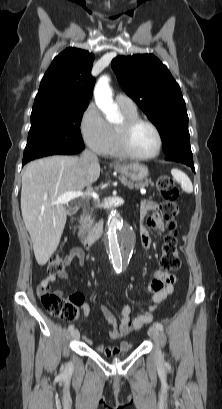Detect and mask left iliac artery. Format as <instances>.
Instances as JSON below:
<instances>
[{
	"mask_svg": "<svg viewBox=\"0 0 222 409\" xmlns=\"http://www.w3.org/2000/svg\"><path fill=\"white\" fill-rule=\"evenodd\" d=\"M154 326H155L156 328H158L160 331H163V325H162L161 323L155 322V323H154Z\"/></svg>",
	"mask_w": 222,
	"mask_h": 409,
	"instance_id": "left-iliac-artery-1",
	"label": "left iliac artery"
}]
</instances>
